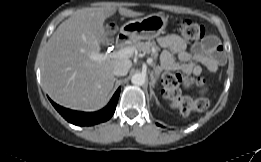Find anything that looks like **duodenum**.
I'll return each instance as SVG.
<instances>
[{
  "label": "duodenum",
  "mask_w": 261,
  "mask_h": 162,
  "mask_svg": "<svg viewBox=\"0 0 261 162\" xmlns=\"http://www.w3.org/2000/svg\"><path fill=\"white\" fill-rule=\"evenodd\" d=\"M128 42V36L125 34H120L117 38V44L119 46H124Z\"/></svg>",
  "instance_id": "410a0bca"
}]
</instances>
